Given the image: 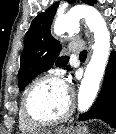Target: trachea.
<instances>
[{"label": "trachea", "instance_id": "3493384b", "mask_svg": "<svg viewBox=\"0 0 116 134\" xmlns=\"http://www.w3.org/2000/svg\"><path fill=\"white\" fill-rule=\"evenodd\" d=\"M79 57H87V51L86 50L82 51Z\"/></svg>", "mask_w": 116, "mask_h": 134}]
</instances>
